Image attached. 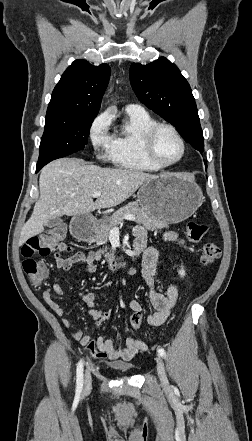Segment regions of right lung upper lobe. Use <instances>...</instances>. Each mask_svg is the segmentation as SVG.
<instances>
[{"label": "right lung upper lobe", "mask_w": 252, "mask_h": 441, "mask_svg": "<svg viewBox=\"0 0 252 441\" xmlns=\"http://www.w3.org/2000/svg\"><path fill=\"white\" fill-rule=\"evenodd\" d=\"M109 77L107 64L93 66L86 60L74 61L53 90L47 112L97 115Z\"/></svg>", "instance_id": "cb5924a9"}]
</instances>
